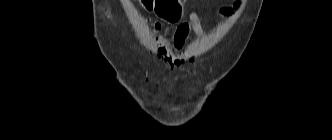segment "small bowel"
<instances>
[{
    "instance_id": "obj_1",
    "label": "small bowel",
    "mask_w": 332,
    "mask_h": 140,
    "mask_svg": "<svg viewBox=\"0 0 332 140\" xmlns=\"http://www.w3.org/2000/svg\"><path fill=\"white\" fill-rule=\"evenodd\" d=\"M185 2V0H182ZM180 19H183L172 35H162L161 53L164 55V62L170 69H178L182 64V51L191 32L199 38L206 37L198 13L195 10L186 14L183 9ZM178 21V20H177ZM175 22V21H173Z\"/></svg>"
}]
</instances>
